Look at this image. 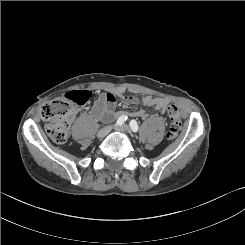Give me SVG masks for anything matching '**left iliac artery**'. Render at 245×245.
Masks as SVG:
<instances>
[{
    "label": "left iliac artery",
    "instance_id": "left-iliac-artery-1",
    "mask_svg": "<svg viewBox=\"0 0 245 245\" xmlns=\"http://www.w3.org/2000/svg\"><path fill=\"white\" fill-rule=\"evenodd\" d=\"M129 125H130V128L133 132L138 131V124H137L136 120H131Z\"/></svg>",
    "mask_w": 245,
    "mask_h": 245
}]
</instances>
